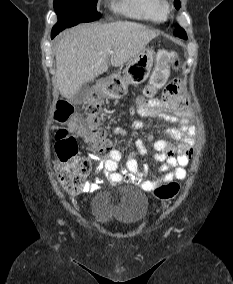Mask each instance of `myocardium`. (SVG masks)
Segmentation results:
<instances>
[{
  "mask_svg": "<svg viewBox=\"0 0 233 284\" xmlns=\"http://www.w3.org/2000/svg\"><path fill=\"white\" fill-rule=\"evenodd\" d=\"M170 6L166 3H164V7H163V12L164 14H168L170 12Z\"/></svg>",
  "mask_w": 233,
  "mask_h": 284,
  "instance_id": "obj_1",
  "label": "myocardium"
}]
</instances>
